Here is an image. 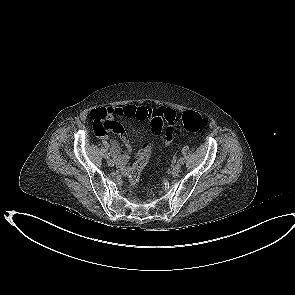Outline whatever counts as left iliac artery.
Returning a JSON list of instances; mask_svg holds the SVG:
<instances>
[{
	"instance_id": "44dca946",
	"label": "left iliac artery",
	"mask_w": 295,
	"mask_h": 295,
	"mask_svg": "<svg viewBox=\"0 0 295 295\" xmlns=\"http://www.w3.org/2000/svg\"><path fill=\"white\" fill-rule=\"evenodd\" d=\"M179 162H180L181 164H183V163L185 162L184 158L181 157V158L179 159Z\"/></svg>"
}]
</instances>
